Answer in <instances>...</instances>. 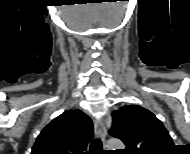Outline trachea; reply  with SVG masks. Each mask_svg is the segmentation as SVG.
Here are the masks:
<instances>
[{"label": "trachea", "instance_id": "1", "mask_svg": "<svg viewBox=\"0 0 190 154\" xmlns=\"http://www.w3.org/2000/svg\"><path fill=\"white\" fill-rule=\"evenodd\" d=\"M89 153L90 154H101V153H103L102 142L100 139H96L91 143Z\"/></svg>", "mask_w": 190, "mask_h": 154}]
</instances>
